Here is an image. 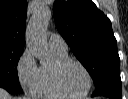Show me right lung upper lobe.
<instances>
[{
	"instance_id": "right-lung-upper-lobe-1",
	"label": "right lung upper lobe",
	"mask_w": 128,
	"mask_h": 99,
	"mask_svg": "<svg viewBox=\"0 0 128 99\" xmlns=\"http://www.w3.org/2000/svg\"><path fill=\"white\" fill-rule=\"evenodd\" d=\"M26 0H0V48L23 50Z\"/></svg>"
}]
</instances>
